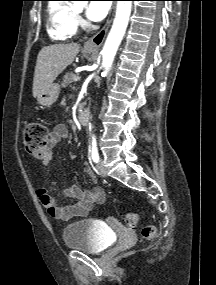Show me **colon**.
Instances as JSON below:
<instances>
[{
    "mask_svg": "<svg viewBox=\"0 0 216 285\" xmlns=\"http://www.w3.org/2000/svg\"><path fill=\"white\" fill-rule=\"evenodd\" d=\"M47 127L40 122L28 123L23 131V143L26 151L36 158L43 159L47 152L48 141ZM139 216L136 212H128L124 215V221L130 228H135ZM141 234L145 239H152L156 234L153 225H146L142 228Z\"/></svg>",
    "mask_w": 216,
    "mask_h": 285,
    "instance_id": "colon-1",
    "label": "colon"
}]
</instances>
